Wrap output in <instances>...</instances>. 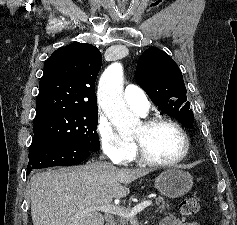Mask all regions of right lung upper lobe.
Returning <instances> with one entry per match:
<instances>
[{
  "label": "right lung upper lobe",
  "mask_w": 237,
  "mask_h": 225,
  "mask_svg": "<svg viewBox=\"0 0 237 225\" xmlns=\"http://www.w3.org/2000/svg\"><path fill=\"white\" fill-rule=\"evenodd\" d=\"M100 51L87 43L57 49L44 64L36 102V120L83 111H98L95 81Z\"/></svg>",
  "instance_id": "1"
}]
</instances>
